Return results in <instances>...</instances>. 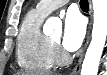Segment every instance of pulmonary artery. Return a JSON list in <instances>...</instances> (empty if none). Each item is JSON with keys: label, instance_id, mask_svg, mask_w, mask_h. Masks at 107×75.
I'll list each match as a JSON object with an SVG mask.
<instances>
[{"label": "pulmonary artery", "instance_id": "pulmonary-artery-1", "mask_svg": "<svg viewBox=\"0 0 107 75\" xmlns=\"http://www.w3.org/2000/svg\"><path fill=\"white\" fill-rule=\"evenodd\" d=\"M69 0H42L40 1L35 10L44 15L47 16L55 9L65 5Z\"/></svg>", "mask_w": 107, "mask_h": 75}]
</instances>
